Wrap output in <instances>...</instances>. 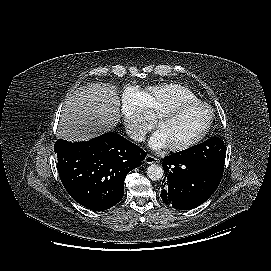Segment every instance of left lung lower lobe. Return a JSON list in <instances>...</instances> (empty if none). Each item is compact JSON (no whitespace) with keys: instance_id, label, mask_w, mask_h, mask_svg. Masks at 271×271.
Segmentation results:
<instances>
[{"instance_id":"0a47b994","label":"left lung lower lobe","mask_w":271,"mask_h":271,"mask_svg":"<svg viewBox=\"0 0 271 271\" xmlns=\"http://www.w3.org/2000/svg\"><path fill=\"white\" fill-rule=\"evenodd\" d=\"M165 177L161 198L172 207L188 210L205 202L217 189L222 173L195 159L180 157L176 153L163 161Z\"/></svg>"}]
</instances>
